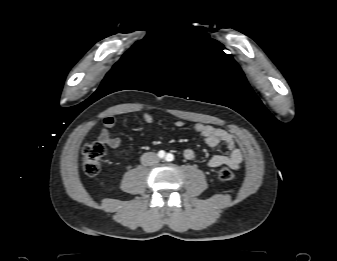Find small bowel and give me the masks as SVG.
<instances>
[{"mask_svg": "<svg viewBox=\"0 0 337 261\" xmlns=\"http://www.w3.org/2000/svg\"><path fill=\"white\" fill-rule=\"evenodd\" d=\"M142 120L147 124H152L154 121L153 116L149 113L143 114ZM115 123L116 118L114 116L105 117L99 139L105 145L110 147L115 155H118V150L121 146V140L120 138L111 134V129L115 126ZM175 125L176 127H182L183 122L177 121ZM194 129L200 136L204 138L208 146L215 148L220 144H225L229 152L227 155L213 156L208 162V166L210 168H218L223 165L229 166L234 170L240 168L243 155L241 150L236 146L234 137L229 132L221 128L203 123L195 124ZM183 155L187 160H192L195 157V152L193 149L187 148L184 150Z\"/></svg>", "mask_w": 337, "mask_h": 261, "instance_id": "small-bowel-1", "label": "small bowel"}]
</instances>
